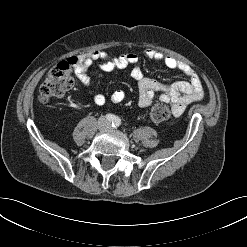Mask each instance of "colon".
Instances as JSON below:
<instances>
[{
	"label": "colon",
	"instance_id": "1",
	"mask_svg": "<svg viewBox=\"0 0 247 247\" xmlns=\"http://www.w3.org/2000/svg\"><path fill=\"white\" fill-rule=\"evenodd\" d=\"M80 62L81 60L78 58H71L54 66L39 89V101L47 103L51 99L65 96L75 85L73 72H75ZM170 115L171 109L169 106L157 104L150 112V119L155 123H160L167 120Z\"/></svg>",
	"mask_w": 247,
	"mask_h": 247
}]
</instances>
